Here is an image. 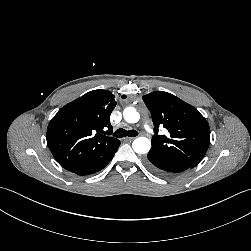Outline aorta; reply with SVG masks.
<instances>
[{"label":"aorta","instance_id":"762f6f07","mask_svg":"<svg viewBox=\"0 0 251 251\" xmlns=\"http://www.w3.org/2000/svg\"><path fill=\"white\" fill-rule=\"evenodd\" d=\"M123 117L128 123H137L140 114L134 107H127L123 111ZM133 150L138 154H146L151 148V142L146 137H138L132 143Z\"/></svg>","mask_w":251,"mask_h":251}]
</instances>
